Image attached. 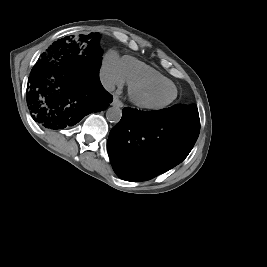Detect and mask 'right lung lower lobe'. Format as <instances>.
Masks as SVG:
<instances>
[{
	"instance_id": "1",
	"label": "right lung lower lobe",
	"mask_w": 267,
	"mask_h": 267,
	"mask_svg": "<svg viewBox=\"0 0 267 267\" xmlns=\"http://www.w3.org/2000/svg\"><path fill=\"white\" fill-rule=\"evenodd\" d=\"M100 66L99 59L67 44L43 53L27 86V105L34 121L49 129H63L106 109L112 96L101 85Z\"/></svg>"
}]
</instances>
